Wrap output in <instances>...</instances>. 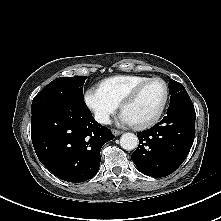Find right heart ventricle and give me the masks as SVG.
Instances as JSON below:
<instances>
[{"label": "right heart ventricle", "mask_w": 221, "mask_h": 221, "mask_svg": "<svg viewBox=\"0 0 221 221\" xmlns=\"http://www.w3.org/2000/svg\"><path fill=\"white\" fill-rule=\"evenodd\" d=\"M149 78L134 75L114 76L102 80L98 88L117 104L139 83Z\"/></svg>", "instance_id": "obj_1"}]
</instances>
